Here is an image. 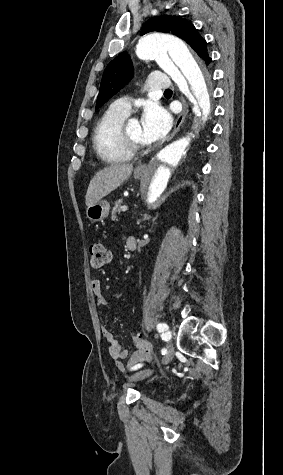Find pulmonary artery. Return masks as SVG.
<instances>
[{
	"mask_svg": "<svg viewBox=\"0 0 283 475\" xmlns=\"http://www.w3.org/2000/svg\"><path fill=\"white\" fill-rule=\"evenodd\" d=\"M172 83L170 80H148L146 82V88L144 89V94L146 96H151L153 94V89H170ZM113 105L129 111L131 102L130 98L123 97L120 98L112 103Z\"/></svg>",
	"mask_w": 283,
	"mask_h": 475,
	"instance_id": "1",
	"label": "pulmonary artery"
}]
</instances>
